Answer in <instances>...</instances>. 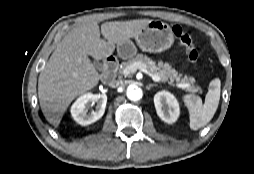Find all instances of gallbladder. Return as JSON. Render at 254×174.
Returning <instances> with one entry per match:
<instances>
[{"mask_svg":"<svg viewBox=\"0 0 254 174\" xmlns=\"http://www.w3.org/2000/svg\"><path fill=\"white\" fill-rule=\"evenodd\" d=\"M94 65L97 69H101L102 64L99 61L94 60Z\"/></svg>","mask_w":254,"mask_h":174,"instance_id":"gallbladder-1","label":"gallbladder"}]
</instances>
